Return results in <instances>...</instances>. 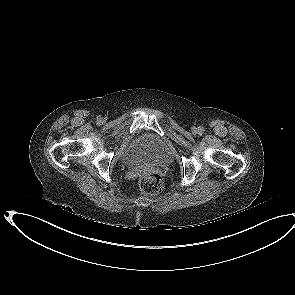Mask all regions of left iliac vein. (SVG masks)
Masks as SVG:
<instances>
[{"mask_svg": "<svg viewBox=\"0 0 295 295\" xmlns=\"http://www.w3.org/2000/svg\"><path fill=\"white\" fill-rule=\"evenodd\" d=\"M193 132H196V129L195 128L193 129Z\"/></svg>", "mask_w": 295, "mask_h": 295, "instance_id": "obj_1", "label": "left iliac vein"}]
</instances>
